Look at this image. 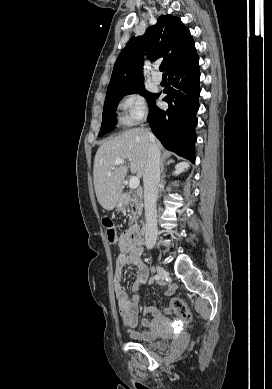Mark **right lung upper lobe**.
<instances>
[{
  "label": "right lung upper lobe",
  "mask_w": 272,
  "mask_h": 389,
  "mask_svg": "<svg viewBox=\"0 0 272 389\" xmlns=\"http://www.w3.org/2000/svg\"><path fill=\"white\" fill-rule=\"evenodd\" d=\"M143 51L154 61L162 59L166 73L194 57L195 43L180 18L162 15L142 37H132L121 51L113 68L107 94L143 84Z\"/></svg>",
  "instance_id": "1"
}]
</instances>
